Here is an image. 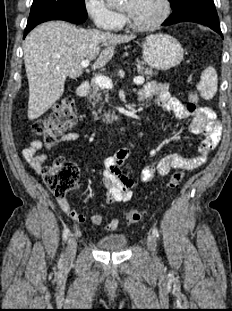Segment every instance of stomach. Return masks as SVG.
I'll return each instance as SVG.
<instances>
[{"mask_svg":"<svg viewBox=\"0 0 232 311\" xmlns=\"http://www.w3.org/2000/svg\"><path fill=\"white\" fill-rule=\"evenodd\" d=\"M144 62L157 70H168L177 66L184 57L180 42L168 34H153L142 42Z\"/></svg>","mask_w":232,"mask_h":311,"instance_id":"obj_1","label":"stomach"}]
</instances>
